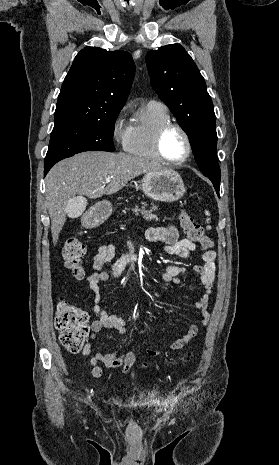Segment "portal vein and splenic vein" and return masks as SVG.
I'll list each match as a JSON object with an SVG mask.
<instances>
[{"instance_id":"18ae733b","label":"portal vein and splenic vein","mask_w":279,"mask_h":465,"mask_svg":"<svg viewBox=\"0 0 279 465\" xmlns=\"http://www.w3.org/2000/svg\"><path fill=\"white\" fill-rule=\"evenodd\" d=\"M110 181H111V178L109 177L105 180V183H109Z\"/></svg>"}]
</instances>
